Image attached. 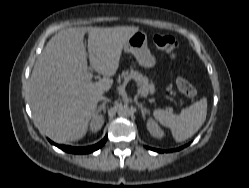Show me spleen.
<instances>
[{
	"instance_id": "obj_1",
	"label": "spleen",
	"mask_w": 249,
	"mask_h": 188,
	"mask_svg": "<svg viewBox=\"0 0 249 188\" xmlns=\"http://www.w3.org/2000/svg\"><path fill=\"white\" fill-rule=\"evenodd\" d=\"M206 115V98H202L191 106L182 109L180 115H173L162 109L153 112L155 119L172 131V135L177 142L192 137L205 122Z\"/></svg>"
}]
</instances>
